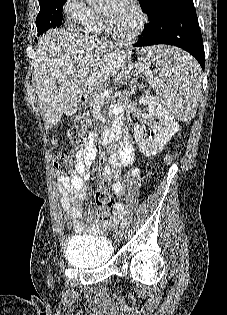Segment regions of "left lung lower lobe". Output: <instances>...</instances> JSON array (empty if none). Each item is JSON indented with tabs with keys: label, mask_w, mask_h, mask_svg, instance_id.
Returning <instances> with one entry per match:
<instances>
[{
	"label": "left lung lower lobe",
	"mask_w": 227,
	"mask_h": 315,
	"mask_svg": "<svg viewBox=\"0 0 227 315\" xmlns=\"http://www.w3.org/2000/svg\"><path fill=\"white\" fill-rule=\"evenodd\" d=\"M155 44H168L186 50L204 70V46L193 2L169 7L156 15L145 26L141 39L133 46Z\"/></svg>",
	"instance_id": "obj_1"
}]
</instances>
